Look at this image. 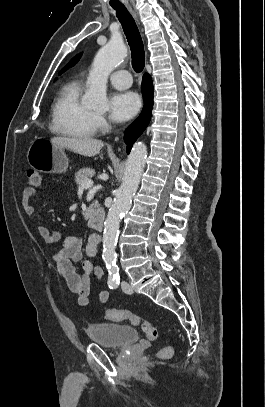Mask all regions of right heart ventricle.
<instances>
[{"mask_svg":"<svg viewBox=\"0 0 265 407\" xmlns=\"http://www.w3.org/2000/svg\"><path fill=\"white\" fill-rule=\"evenodd\" d=\"M81 83L71 81L58 93L51 110L50 128L58 135L89 138L96 133L95 114L80 99Z\"/></svg>","mask_w":265,"mask_h":407,"instance_id":"right-heart-ventricle-1","label":"right heart ventricle"}]
</instances>
